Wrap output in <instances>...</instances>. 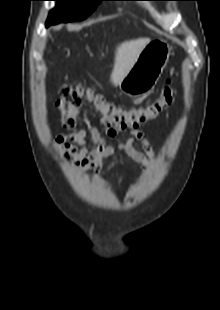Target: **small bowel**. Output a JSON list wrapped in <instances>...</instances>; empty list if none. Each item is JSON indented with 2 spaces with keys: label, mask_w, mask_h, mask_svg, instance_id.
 Segmentation results:
<instances>
[{
  "label": "small bowel",
  "mask_w": 220,
  "mask_h": 310,
  "mask_svg": "<svg viewBox=\"0 0 220 310\" xmlns=\"http://www.w3.org/2000/svg\"><path fill=\"white\" fill-rule=\"evenodd\" d=\"M117 133V129L107 126H104L102 130L96 127L83 128L68 136H57L55 139L56 150L66 161L70 162V158H72V164L79 173L83 174L93 170L96 179L107 186H111V184L101 175L102 165L105 160L127 155L146 169L153 167L156 153L151 141L144 132L131 130L127 140L117 145H108L106 137L113 138ZM88 138L94 145L91 150L86 147ZM135 141L139 142L142 151L134 146Z\"/></svg>",
  "instance_id": "c3829d8e"
}]
</instances>
